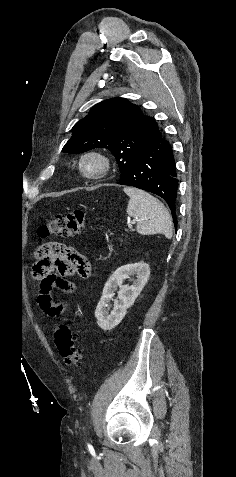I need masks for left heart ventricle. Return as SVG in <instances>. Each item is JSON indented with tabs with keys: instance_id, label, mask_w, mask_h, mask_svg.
Wrapping results in <instances>:
<instances>
[{
	"instance_id": "obj_1",
	"label": "left heart ventricle",
	"mask_w": 236,
	"mask_h": 477,
	"mask_svg": "<svg viewBox=\"0 0 236 477\" xmlns=\"http://www.w3.org/2000/svg\"><path fill=\"white\" fill-rule=\"evenodd\" d=\"M100 168V163L96 159H88L84 163V169L86 172L93 173L97 172Z\"/></svg>"
}]
</instances>
